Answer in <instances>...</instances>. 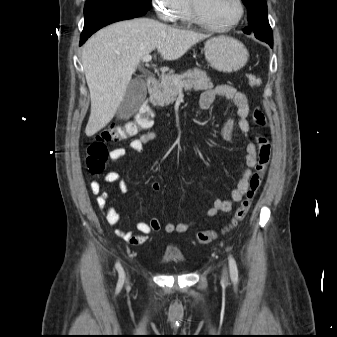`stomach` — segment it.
<instances>
[{
  "instance_id": "stomach-1",
  "label": "stomach",
  "mask_w": 337,
  "mask_h": 337,
  "mask_svg": "<svg viewBox=\"0 0 337 337\" xmlns=\"http://www.w3.org/2000/svg\"><path fill=\"white\" fill-rule=\"evenodd\" d=\"M205 57L216 70L230 73L240 70L247 63L249 53L236 39L218 36L205 43Z\"/></svg>"
}]
</instances>
